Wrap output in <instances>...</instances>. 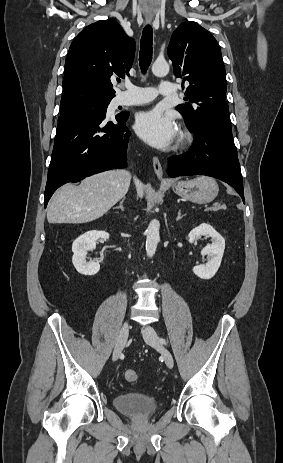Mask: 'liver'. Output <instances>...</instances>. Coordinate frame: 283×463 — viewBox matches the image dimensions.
<instances>
[{
  "label": "liver",
  "mask_w": 283,
  "mask_h": 463,
  "mask_svg": "<svg viewBox=\"0 0 283 463\" xmlns=\"http://www.w3.org/2000/svg\"><path fill=\"white\" fill-rule=\"evenodd\" d=\"M130 181L129 171L115 169L88 177L78 186L64 185L48 205V222L80 224L96 220L126 195ZM136 183L143 197V185Z\"/></svg>",
  "instance_id": "obj_1"
}]
</instances>
